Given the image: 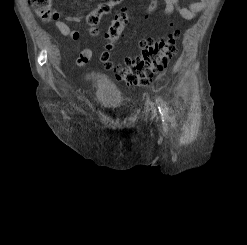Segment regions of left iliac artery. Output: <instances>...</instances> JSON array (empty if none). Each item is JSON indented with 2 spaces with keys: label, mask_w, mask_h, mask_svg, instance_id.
<instances>
[{
  "label": "left iliac artery",
  "mask_w": 247,
  "mask_h": 245,
  "mask_svg": "<svg viewBox=\"0 0 247 245\" xmlns=\"http://www.w3.org/2000/svg\"><path fill=\"white\" fill-rule=\"evenodd\" d=\"M156 103H157L159 112L161 114L162 121L165 122L168 119V111H167L166 105L161 98H157Z\"/></svg>",
  "instance_id": "44dca946"
}]
</instances>
